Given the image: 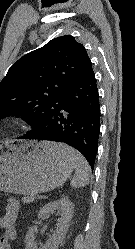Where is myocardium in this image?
Returning a JSON list of instances; mask_svg holds the SVG:
<instances>
[{
    "instance_id": "obj_1",
    "label": "myocardium",
    "mask_w": 135,
    "mask_h": 249,
    "mask_svg": "<svg viewBox=\"0 0 135 249\" xmlns=\"http://www.w3.org/2000/svg\"><path fill=\"white\" fill-rule=\"evenodd\" d=\"M23 125V121L18 117H9L0 122V131L6 132Z\"/></svg>"
}]
</instances>
